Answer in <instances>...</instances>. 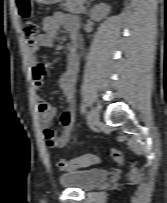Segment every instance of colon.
I'll return each instance as SVG.
<instances>
[{
  "instance_id": "5ec220e1",
  "label": "colon",
  "mask_w": 167,
  "mask_h": 203,
  "mask_svg": "<svg viewBox=\"0 0 167 203\" xmlns=\"http://www.w3.org/2000/svg\"><path fill=\"white\" fill-rule=\"evenodd\" d=\"M17 7L18 12L21 17L25 19L24 24V35L27 39L35 38L40 33V25L39 23L34 20L32 16V5L29 0H17ZM109 155L111 158L117 162L121 163L122 161V155L120 151L116 149H112L109 152ZM101 158L98 155L95 154H88L73 160H67V159H59L57 161V167L61 171H67L76 169L83 166H88L92 164H96L100 162ZM137 176V172L133 170L131 172V178H135Z\"/></svg>"
}]
</instances>
